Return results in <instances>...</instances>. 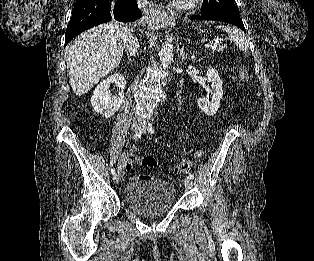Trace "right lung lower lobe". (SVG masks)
I'll list each match as a JSON object with an SVG mask.
<instances>
[{
    "label": "right lung lower lobe",
    "instance_id": "1",
    "mask_svg": "<svg viewBox=\"0 0 314 261\" xmlns=\"http://www.w3.org/2000/svg\"><path fill=\"white\" fill-rule=\"evenodd\" d=\"M135 0H81L76 2L71 20L66 29L65 46L78 34L109 22L115 18L121 22L141 18Z\"/></svg>",
    "mask_w": 314,
    "mask_h": 261
}]
</instances>
